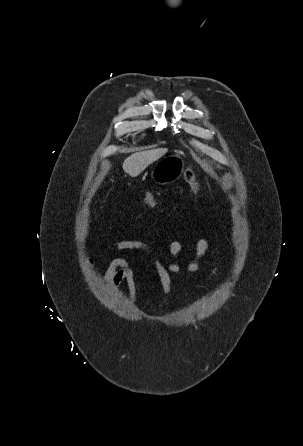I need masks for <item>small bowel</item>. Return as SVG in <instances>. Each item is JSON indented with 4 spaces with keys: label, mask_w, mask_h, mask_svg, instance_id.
<instances>
[{
    "label": "small bowel",
    "mask_w": 303,
    "mask_h": 446,
    "mask_svg": "<svg viewBox=\"0 0 303 446\" xmlns=\"http://www.w3.org/2000/svg\"><path fill=\"white\" fill-rule=\"evenodd\" d=\"M210 246V241L207 238L199 239L194 246V259L188 265L187 268L181 269L176 261L177 255L182 250L183 244L180 240H174L169 246L170 260L167 264H164L156 251L148 245L146 242L140 240H126L117 241L115 243V248L117 250H139L145 252L152 261L155 271L159 277L162 291L165 295H169L172 289V277L179 276L185 277L194 273L206 251ZM88 266L92 267L93 262L90 258L87 259ZM219 272V267L212 269L208 279H212ZM104 284L110 290H115L123 282L127 284L128 288V300L131 305L135 304L137 301L136 284L134 280V273L130 266V263L125 258H116L108 266L104 278Z\"/></svg>",
    "instance_id": "1"
}]
</instances>
